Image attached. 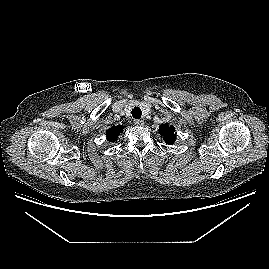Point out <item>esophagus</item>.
I'll list each match as a JSON object with an SVG mask.
<instances>
[{
	"mask_svg": "<svg viewBox=\"0 0 269 269\" xmlns=\"http://www.w3.org/2000/svg\"><path fill=\"white\" fill-rule=\"evenodd\" d=\"M134 124L136 126H143L144 125V121L143 120H140V119H136V120H134Z\"/></svg>",
	"mask_w": 269,
	"mask_h": 269,
	"instance_id": "esophagus-1",
	"label": "esophagus"
}]
</instances>
